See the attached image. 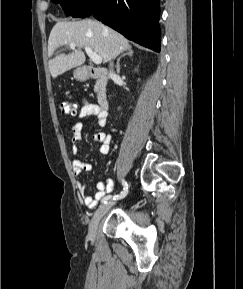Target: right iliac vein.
I'll use <instances>...</instances> for the list:
<instances>
[{"instance_id": "obj_1", "label": "right iliac vein", "mask_w": 243, "mask_h": 289, "mask_svg": "<svg viewBox=\"0 0 243 289\" xmlns=\"http://www.w3.org/2000/svg\"><path fill=\"white\" fill-rule=\"evenodd\" d=\"M115 204V201H109L105 204H102L97 211L95 212L94 216L91 219L89 224V236L94 238L96 236L98 224L101 218L110 210V208Z\"/></svg>"}]
</instances>
